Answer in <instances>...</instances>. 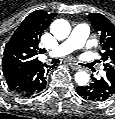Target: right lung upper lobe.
I'll use <instances>...</instances> for the list:
<instances>
[{
  "mask_svg": "<svg viewBox=\"0 0 115 119\" xmlns=\"http://www.w3.org/2000/svg\"><path fill=\"white\" fill-rule=\"evenodd\" d=\"M56 13L47 14L44 10L30 13L5 45L2 60L3 74L6 77L34 66H41L38 55L39 39L49 26Z\"/></svg>",
  "mask_w": 115,
  "mask_h": 119,
  "instance_id": "obj_1",
  "label": "right lung upper lobe"
}]
</instances>
